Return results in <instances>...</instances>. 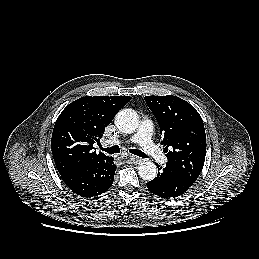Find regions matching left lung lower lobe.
Here are the masks:
<instances>
[{"instance_id": "obj_1", "label": "left lung lower lobe", "mask_w": 259, "mask_h": 259, "mask_svg": "<svg viewBox=\"0 0 259 259\" xmlns=\"http://www.w3.org/2000/svg\"><path fill=\"white\" fill-rule=\"evenodd\" d=\"M157 167V177L147 183V188L155 195L164 199L176 198L184 194L193 184L167 164L165 168L158 165Z\"/></svg>"}]
</instances>
